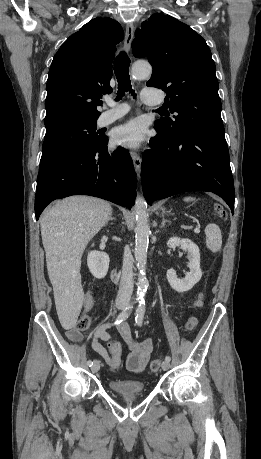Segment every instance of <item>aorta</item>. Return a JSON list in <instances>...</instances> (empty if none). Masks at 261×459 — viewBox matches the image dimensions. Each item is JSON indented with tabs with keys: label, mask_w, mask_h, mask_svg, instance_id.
I'll list each match as a JSON object with an SVG mask.
<instances>
[{
	"label": "aorta",
	"mask_w": 261,
	"mask_h": 459,
	"mask_svg": "<svg viewBox=\"0 0 261 459\" xmlns=\"http://www.w3.org/2000/svg\"><path fill=\"white\" fill-rule=\"evenodd\" d=\"M131 73L135 80H143L150 77L152 68L149 63L137 62L133 64ZM135 210L136 227L134 254L140 272L137 297L138 299H143L148 287V281L145 276V267L147 262L149 235L151 231L148 222L147 203L140 195H137Z\"/></svg>",
	"instance_id": "aorta-1"
}]
</instances>
